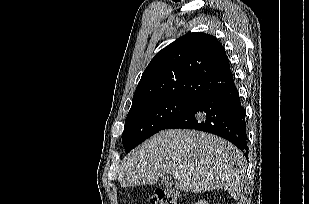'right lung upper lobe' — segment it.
I'll return each mask as SVG.
<instances>
[{"instance_id": "right-lung-upper-lobe-1", "label": "right lung upper lobe", "mask_w": 309, "mask_h": 204, "mask_svg": "<svg viewBox=\"0 0 309 204\" xmlns=\"http://www.w3.org/2000/svg\"><path fill=\"white\" fill-rule=\"evenodd\" d=\"M233 81L221 43L212 35L188 33L151 60L138 83L132 105L165 97L200 100Z\"/></svg>"}]
</instances>
